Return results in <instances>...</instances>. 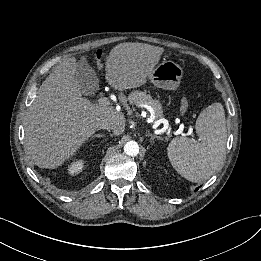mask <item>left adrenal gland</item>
<instances>
[{
    "label": "left adrenal gland",
    "mask_w": 261,
    "mask_h": 261,
    "mask_svg": "<svg viewBox=\"0 0 261 261\" xmlns=\"http://www.w3.org/2000/svg\"><path fill=\"white\" fill-rule=\"evenodd\" d=\"M146 136L150 137V142H151L152 144H154V140H155V139L162 140V138H161L160 136L153 135V134H151V133H149V132L146 134Z\"/></svg>",
    "instance_id": "obj_1"
}]
</instances>
